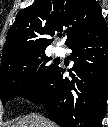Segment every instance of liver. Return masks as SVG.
Here are the masks:
<instances>
[{"label":"liver","instance_id":"1","mask_svg":"<svg viewBox=\"0 0 108 127\" xmlns=\"http://www.w3.org/2000/svg\"><path fill=\"white\" fill-rule=\"evenodd\" d=\"M12 127H57V125L41 115L30 114L20 119Z\"/></svg>","mask_w":108,"mask_h":127}]
</instances>
